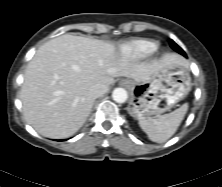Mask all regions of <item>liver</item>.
Wrapping results in <instances>:
<instances>
[{
  "instance_id": "obj_1",
  "label": "liver",
  "mask_w": 222,
  "mask_h": 187,
  "mask_svg": "<svg viewBox=\"0 0 222 187\" xmlns=\"http://www.w3.org/2000/svg\"><path fill=\"white\" fill-rule=\"evenodd\" d=\"M170 64H185L176 53L139 62L121 56L112 42L64 34L43 44L29 62L20 99L24 117L38 133L61 139L75 134L94 104L90 88L116 77L147 81Z\"/></svg>"
}]
</instances>
